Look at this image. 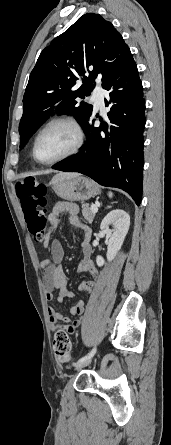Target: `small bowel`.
<instances>
[{"instance_id": "small-bowel-1", "label": "small bowel", "mask_w": 171, "mask_h": 445, "mask_svg": "<svg viewBox=\"0 0 171 445\" xmlns=\"http://www.w3.org/2000/svg\"><path fill=\"white\" fill-rule=\"evenodd\" d=\"M64 210H69L75 215L77 207L70 203H57L54 206L51 217L52 230L57 228L60 224L59 215ZM43 245L45 248L50 246V256L40 262V267L43 269L42 280L46 299L49 301L56 299L58 302H62L66 298H74V293L67 287L68 279L62 266L64 249L61 242L56 239L51 240L50 232L46 235ZM81 248L83 259L78 267V271L81 273H89L92 279L83 280L78 288L80 291L92 293L97 282L98 272L92 260V248L88 229H84ZM84 311L85 303L83 300H79L72 306L70 314L71 316H80ZM47 312L50 325L55 332L58 329H63L72 334L80 325V320L71 321L69 316L62 315L53 307H48Z\"/></svg>"}]
</instances>
